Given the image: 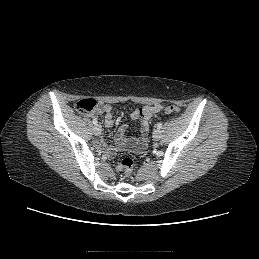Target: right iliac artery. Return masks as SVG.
Instances as JSON below:
<instances>
[{"label":"right iliac artery","instance_id":"obj_1","mask_svg":"<svg viewBox=\"0 0 259 259\" xmlns=\"http://www.w3.org/2000/svg\"><path fill=\"white\" fill-rule=\"evenodd\" d=\"M93 124L97 125V120L96 119H93Z\"/></svg>","mask_w":259,"mask_h":259}]
</instances>
